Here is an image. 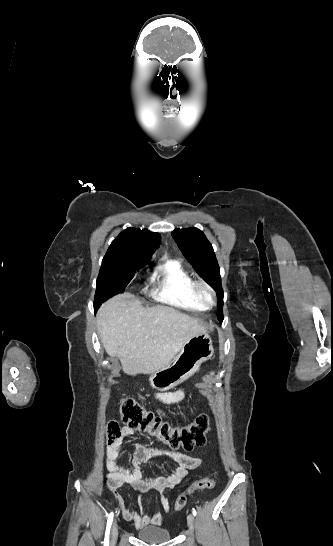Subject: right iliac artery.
I'll return each instance as SVG.
<instances>
[{
  "label": "right iliac artery",
  "mask_w": 333,
  "mask_h": 546,
  "mask_svg": "<svg viewBox=\"0 0 333 546\" xmlns=\"http://www.w3.org/2000/svg\"><path fill=\"white\" fill-rule=\"evenodd\" d=\"M112 521H113V512L110 513L108 517L105 538H104V546H109V533H110Z\"/></svg>",
  "instance_id": "1"
}]
</instances>
